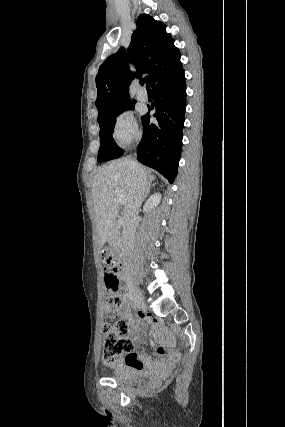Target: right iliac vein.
Wrapping results in <instances>:
<instances>
[{"label":"right iliac vein","instance_id":"63e3f726","mask_svg":"<svg viewBox=\"0 0 285 427\" xmlns=\"http://www.w3.org/2000/svg\"><path fill=\"white\" fill-rule=\"evenodd\" d=\"M127 285H128L130 293L132 294V296L134 298L136 307L139 309H143L145 307V302H144V297H143L142 293L140 292L139 289H137L133 285L132 281L129 280L127 282Z\"/></svg>","mask_w":285,"mask_h":427}]
</instances>
